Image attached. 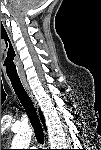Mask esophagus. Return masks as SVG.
<instances>
[{"mask_svg": "<svg viewBox=\"0 0 101 150\" xmlns=\"http://www.w3.org/2000/svg\"><path fill=\"white\" fill-rule=\"evenodd\" d=\"M22 83H23L24 88L26 89L27 93L29 94L30 98L32 99V101L36 105V101L34 99V96H33L32 92H31L30 88H29V85H28L27 81L23 79Z\"/></svg>", "mask_w": 101, "mask_h": 150, "instance_id": "1", "label": "esophagus"}]
</instances>
